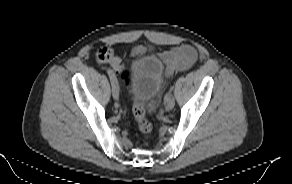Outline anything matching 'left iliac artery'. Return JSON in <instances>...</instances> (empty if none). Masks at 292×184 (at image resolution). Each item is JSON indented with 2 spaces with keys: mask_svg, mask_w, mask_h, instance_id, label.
I'll list each match as a JSON object with an SVG mask.
<instances>
[{
  "mask_svg": "<svg viewBox=\"0 0 292 184\" xmlns=\"http://www.w3.org/2000/svg\"><path fill=\"white\" fill-rule=\"evenodd\" d=\"M171 90L172 88L170 89V91L168 93H166L165 97H164V100L167 101L169 99V97L172 95L171 94Z\"/></svg>",
  "mask_w": 292,
  "mask_h": 184,
  "instance_id": "44dca946",
  "label": "left iliac artery"
}]
</instances>
